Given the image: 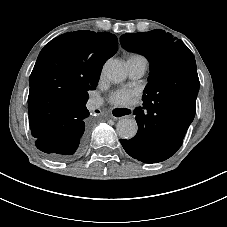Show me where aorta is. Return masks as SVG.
<instances>
[{"instance_id":"762f6f07","label":"aorta","mask_w":227,"mask_h":227,"mask_svg":"<svg viewBox=\"0 0 227 227\" xmlns=\"http://www.w3.org/2000/svg\"><path fill=\"white\" fill-rule=\"evenodd\" d=\"M103 75L111 82L120 83L126 79L127 70L117 59H109L103 66ZM117 133L122 139L133 138L138 130L137 123L132 118L121 119L117 123Z\"/></svg>"}]
</instances>
